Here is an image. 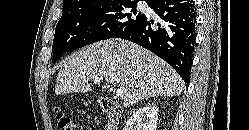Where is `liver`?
I'll use <instances>...</instances> for the list:
<instances>
[{"mask_svg": "<svg viewBox=\"0 0 249 130\" xmlns=\"http://www.w3.org/2000/svg\"><path fill=\"white\" fill-rule=\"evenodd\" d=\"M125 89L123 106L146 98L179 96L184 88L178 73L145 48L122 39L89 45L62 61L55 93H86L94 79Z\"/></svg>", "mask_w": 249, "mask_h": 130, "instance_id": "obj_1", "label": "liver"}]
</instances>
